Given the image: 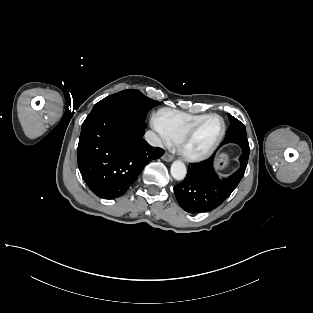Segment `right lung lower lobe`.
<instances>
[{"label": "right lung lower lobe", "mask_w": 313, "mask_h": 313, "mask_svg": "<svg viewBox=\"0 0 313 313\" xmlns=\"http://www.w3.org/2000/svg\"><path fill=\"white\" fill-rule=\"evenodd\" d=\"M146 124L115 109L88 115L78 144L81 175L100 198L114 199L133 184L144 166L164 150L142 139Z\"/></svg>", "instance_id": "obj_1"}]
</instances>
